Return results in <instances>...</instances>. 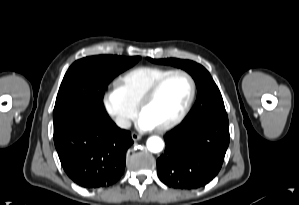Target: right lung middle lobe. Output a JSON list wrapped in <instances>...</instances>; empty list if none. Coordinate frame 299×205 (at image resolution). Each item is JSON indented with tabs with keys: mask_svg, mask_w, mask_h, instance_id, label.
<instances>
[{
	"mask_svg": "<svg viewBox=\"0 0 299 205\" xmlns=\"http://www.w3.org/2000/svg\"><path fill=\"white\" fill-rule=\"evenodd\" d=\"M140 59L113 55L86 57L74 62L66 72L53 111L54 128L82 111L106 114L104 91L110 81Z\"/></svg>",
	"mask_w": 299,
	"mask_h": 205,
	"instance_id": "right-lung-middle-lobe-1",
	"label": "right lung middle lobe"
}]
</instances>
